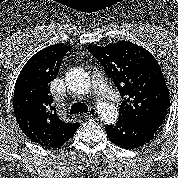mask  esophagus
<instances>
[{"label": "esophagus", "instance_id": "1", "mask_svg": "<svg viewBox=\"0 0 178 178\" xmlns=\"http://www.w3.org/2000/svg\"><path fill=\"white\" fill-rule=\"evenodd\" d=\"M96 112H97V111H96L95 108H90L89 111H88V113H87L85 116H86V117L92 116V115L96 114ZM79 117H82L81 114H79Z\"/></svg>", "mask_w": 178, "mask_h": 178}]
</instances>
